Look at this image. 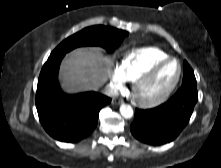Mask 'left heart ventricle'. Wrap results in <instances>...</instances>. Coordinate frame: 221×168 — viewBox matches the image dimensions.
<instances>
[{
	"mask_svg": "<svg viewBox=\"0 0 221 168\" xmlns=\"http://www.w3.org/2000/svg\"><path fill=\"white\" fill-rule=\"evenodd\" d=\"M177 73V64L170 62L163 66L155 77L144 87L143 93L152 96L162 91L175 78Z\"/></svg>",
	"mask_w": 221,
	"mask_h": 168,
	"instance_id": "obj_1",
	"label": "left heart ventricle"
}]
</instances>
